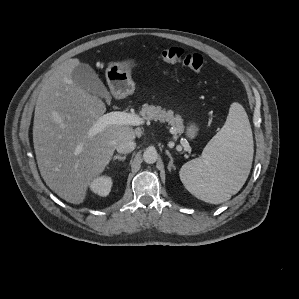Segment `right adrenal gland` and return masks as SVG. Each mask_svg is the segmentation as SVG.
Listing matches in <instances>:
<instances>
[{
    "label": "right adrenal gland",
    "instance_id": "2a0ac1e0",
    "mask_svg": "<svg viewBox=\"0 0 299 299\" xmlns=\"http://www.w3.org/2000/svg\"><path fill=\"white\" fill-rule=\"evenodd\" d=\"M125 159H126V156L115 155L113 157V161H115V160L125 161Z\"/></svg>",
    "mask_w": 299,
    "mask_h": 299
}]
</instances>
